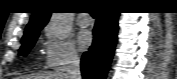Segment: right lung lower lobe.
<instances>
[{"instance_id":"98d812e1","label":"right lung lower lobe","mask_w":177,"mask_h":79,"mask_svg":"<svg viewBox=\"0 0 177 79\" xmlns=\"http://www.w3.org/2000/svg\"><path fill=\"white\" fill-rule=\"evenodd\" d=\"M118 12H99L93 30L94 40L82 56L81 71L84 79H105L111 62L118 31Z\"/></svg>"}]
</instances>
